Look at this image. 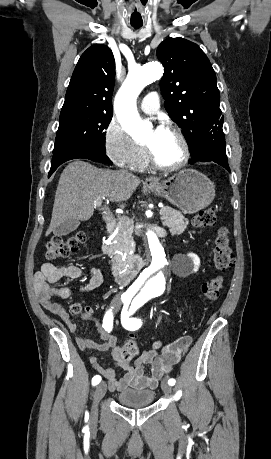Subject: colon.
I'll return each instance as SVG.
<instances>
[{"label":"colon","mask_w":271,"mask_h":459,"mask_svg":"<svg viewBox=\"0 0 271 459\" xmlns=\"http://www.w3.org/2000/svg\"><path fill=\"white\" fill-rule=\"evenodd\" d=\"M216 216L212 209H205L197 213L193 220L196 228H206L214 225ZM87 234L77 232L69 236H55L47 243L46 257L49 260H57L68 257L72 252L84 244ZM213 261L217 271L224 273L231 269L235 263V257L230 247L228 232L220 229L215 237ZM204 296L209 300H216L222 292V278L217 276L209 279L202 287ZM73 311L79 312L81 307L73 305ZM138 354V347L133 335L125 342L120 350L121 358L129 363Z\"/></svg>","instance_id":"1"}]
</instances>
